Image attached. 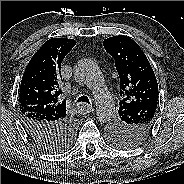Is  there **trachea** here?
I'll use <instances>...</instances> for the list:
<instances>
[{"label": "trachea", "mask_w": 184, "mask_h": 184, "mask_svg": "<svg viewBox=\"0 0 184 184\" xmlns=\"http://www.w3.org/2000/svg\"><path fill=\"white\" fill-rule=\"evenodd\" d=\"M77 102H79V103L84 102V103L90 104V101H89L88 97L85 96V95L80 96V97L78 98Z\"/></svg>", "instance_id": "obj_1"}]
</instances>
